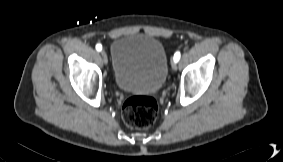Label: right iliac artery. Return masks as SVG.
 Here are the masks:
<instances>
[{"label":"right iliac artery","mask_w":283,"mask_h":162,"mask_svg":"<svg viewBox=\"0 0 283 162\" xmlns=\"http://www.w3.org/2000/svg\"><path fill=\"white\" fill-rule=\"evenodd\" d=\"M96 50L97 51H101L102 50V45L101 44H97L96 45Z\"/></svg>","instance_id":"82829eb1"}]
</instances>
